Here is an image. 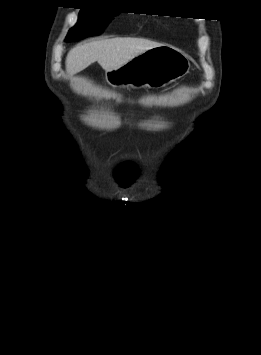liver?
Segmentation results:
<instances>
[{
	"mask_svg": "<svg viewBox=\"0 0 261 355\" xmlns=\"http://www.w3.org/2000/svg\"><path fill=\"white\" fill-rule=\"evenodd\" d=\"M158 46L161 44L130 37L93 41L78 45L69 51L66 57V70L72 76L97 61L105 71H109Z\"/></svg>",
	"mask_w": 261,
	"mask_h": 355,
	"instance_id": "6515ba94",
	"label": "liver"
}]
</instances>
